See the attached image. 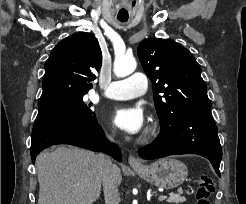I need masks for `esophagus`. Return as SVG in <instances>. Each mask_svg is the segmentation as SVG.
Instances as JSON below:
<instances>
[{"label":"esophagus","instance_id":"1","mask_svg":"<svg viewBox=\"0 0 246 204\" xmlns=\"http://www.w3.org/2000/svg\"><path fill=\"white\" fill-rule=\"evenodd\" d=\"M128 163H129V165H130L131 167H133V168H137V167L142 166L141 161H140L139 159H137V158H136L135 156H133V155H130V156L128 157Z\"/></svg>","mask_w":246,"mask_h":204}]
</instances>
